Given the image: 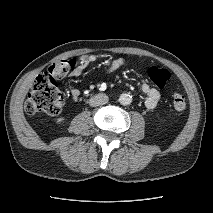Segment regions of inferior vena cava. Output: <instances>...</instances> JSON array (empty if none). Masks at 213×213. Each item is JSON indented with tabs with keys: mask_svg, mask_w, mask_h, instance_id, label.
<instances>
[{
	"mask_svg": "<svg viewBox=\"0 0 213 213\" xmlns=\"http://www.w3.org/2000/svg\"><path fill=\"white\" fill-rule=\"evenodd\" d=\"M108 100L109 98L106 94H96L89 99V105L93 107L104 105L108 102Z\"/></svg>",
	"mask_w": 213,
	"mask_h": 213,
	"instance_id": "1",
	"label": "inferior vena cava"
}]
</instances>
